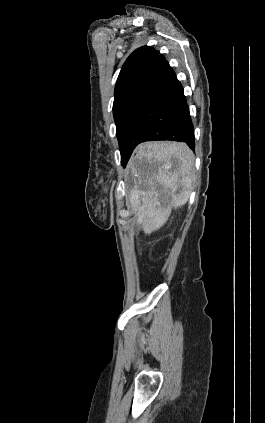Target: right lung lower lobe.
<instances>
[{
  "instance_id": "obj_1",
  "label": "right lung lower lobe",
  "mask_w": 265,
  "mask_h": 423,
  "mask_svg": "<svg viewBox=\"0 0 265 423\" xmlns=\"http://www.w3.org/2000/svg\"><path fill=\"white\" fill-rule=\"evenodd\" d=\"M152 140L185 142L195 149L189 108L182 85L171 68L146 95L124 131L121 143L127 159L123 165L139 143Z\"/></svg>"
}]
</instances>
